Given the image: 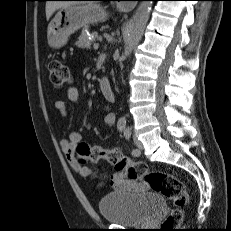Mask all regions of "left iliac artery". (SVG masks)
Instances as JSON below:
<instances>
[{"label":"left iliac artery","mask_w":231,"mask_h":231,"mask_svg":"<svg viewBox=\"0 0 231 231\" xmlns=\"http://www.w3.org/2000/svg\"><path fill=\"white\" fill-rule=\"evenodd\" d=\"M124 137L126 140H129L130 137H131V130L129 128H127L125 131H124ZM140 154V151L138 149H133L132 150V155L133 156H138Z\"/></svg>","instance_id":"left-iliac-artery-1"}]
</instances>
